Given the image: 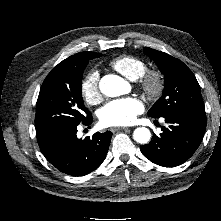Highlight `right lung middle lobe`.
<instances>
[{
  "instance_id": "obj_1",
  "label": "right lung middle lobe",
  "mask_w": 221,
  "mask_h": 221,
  "mask_svg": "<svg viewBox=\"0 0 221 221\" xmlns=\"http://www.w3.org/2000/svg\"><path fill=\"white\" fill-rule=\"evenodd\" d=\"M101 54L96 55L100 57ZM88 61L77 66L57 65L45 78L36 104V133L76 126L90 116L82 99V75Z\"/></svg>"
}]
</instances>
